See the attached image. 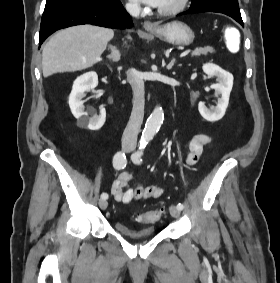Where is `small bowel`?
I'll return each instance as SVG.
<instances>
[{
	"instance_id": "obj_1",
	"label": "small bowel",
	"mask_w": 280,
	"mask_h": 283,
	"mask_svg": "<svg viewBox=\"0 0 280 283\" xmlns=\"http://www.w3.org/2000/svg\"><path fill=\"white\" fill-rule=\"evenodd\" d=\"M210 144L211 138L209 135L205 133L195 135L189 144V152L185 158L186 163L188 165L196 164ZM133 181V176L129 172L124 171L113 182L111 195L117 202L128 204L133 200L158 198L163 194V189L158 186H143L139 183L131 186Z\"/></svg>"
}]
</instances>
